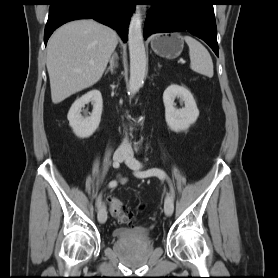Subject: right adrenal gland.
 <instances>
[{
  "mask_svg": "<svg viewBox=\"0 0 278 278\" xmlns=\"http://www.w3.org/2000/svg\"><path fill=\"white\" fill-rule=\"evenodd\" d=\"M117 59H118V55L116 52H114L110 58V66L106 69L105 74H107L109 71H111V73H114V69L118 67V63H117Z\"/></svg>",
  "mask_w": 278,
  "mask_h": 278,
  "instance_id": "2a0ac1e0",
  "label": "right adrenal gland"
}]
</instances>
